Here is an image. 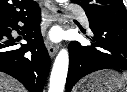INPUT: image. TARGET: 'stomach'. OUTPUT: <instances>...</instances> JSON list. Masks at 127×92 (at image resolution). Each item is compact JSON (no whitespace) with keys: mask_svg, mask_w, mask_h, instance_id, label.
Listing matches in <instances>:
<instances>
[{"mask_svg":"<svg viewBox=\"0 0 127 92\" xmlns=\"http://www.w3.org/2000/svg\"><path fill=\"white\" fill-rule=\"evenodd\" d=\"M126 82L115 71H100L89 76L79 92H122Z\"/></svg>","mask_w":127,"mask_h":92,"instance_id":"obj_1","label":"stomach"}]
</instances>
